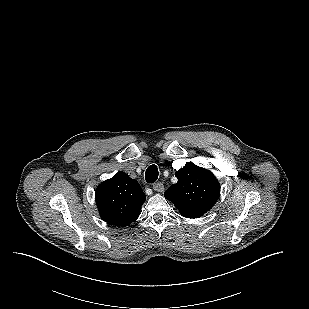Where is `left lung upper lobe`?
<instances>
[{"label": "left lung upper lobe", "instance_id": "obj_1", "mask_svg": "<svg viewBox=\"0 0 309 309\" xmlns=\"http://www.w3.org/2000/svg\"><path fill=\"white\" fill-rule=\"evenodd\" d=\"M178 182L165 191L169 199L186 218H198L209 211L220 195V185L213 173L186 163L175 172Z\"/></svg>", "mask_w": 309, "mask_h": 309}]
</instances>
